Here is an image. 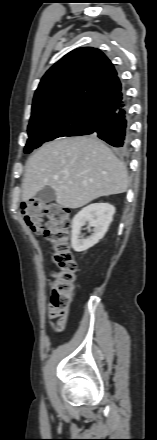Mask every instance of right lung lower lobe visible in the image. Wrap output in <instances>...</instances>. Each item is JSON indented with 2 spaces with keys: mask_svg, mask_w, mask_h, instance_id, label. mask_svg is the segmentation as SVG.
Masks as SVG:
<instances>
[{
  "mask_svg": "<svg viewBox=\"0 0 157 440\" xmlns=\"http://www.w3.org/2000/svg\"><path fill=\"white\" fill-rule=\"evenodd\" d=\"M87 134L94 133L121 151L127 149L130 140L128 110L125 98L115 109L104 112L86 123Z\"/></svg>",
  "mask_w": 157,
  "mask_h": 440,
  "instance_id": "1",
  "label": "right lung lower lobe"
}]
</instances>
